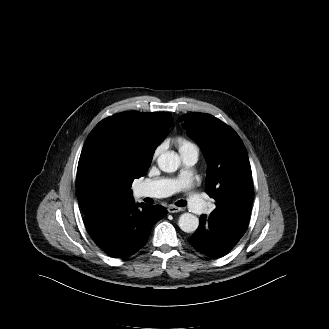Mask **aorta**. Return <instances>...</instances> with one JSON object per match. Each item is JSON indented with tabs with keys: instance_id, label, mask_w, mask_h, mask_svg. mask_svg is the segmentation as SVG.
I'll return each instance as SVG.
<instances>
[{
	"instance_id": "1",
	"label": "aorta",
	"mask_w": 329,
	"mask_h": 329,
	"mask_svg": "<svg viewBox=\"0 0 329 329\" xmlns=\"http://www.w3.org/2000/svg\"><path fill=\"white\" fill-rule=\"evenodd\" d=\"M157 163L162 171L171 173L179 168L181 160L177 153L168 151L158 157ZM178 225L182 231L192 233L197 230L199 219L191 213H183L179 217Z\"/></svg>"
}]
</instances>
